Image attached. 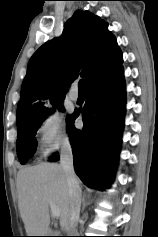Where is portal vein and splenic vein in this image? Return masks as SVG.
Returning <instances> with one entry per match:
<instances>
[{
  "label": "portal vein and splenic vein",
  "instance_id": "obj_1",
  "mask_svg": "<svg viewBox=\"0 0 158 237\" xmlns=\"http://www.w3.org/2000/svg\"><path fill=\"white\" fill-rule=\"evenodd\" d=\"M50 204V208H51V211H52V214L54 217H60V210L59 208L53 203V202H49Z\"/></svg>",
  "mask_w": 158,
  "mask_h": 237
}]
</instances>
